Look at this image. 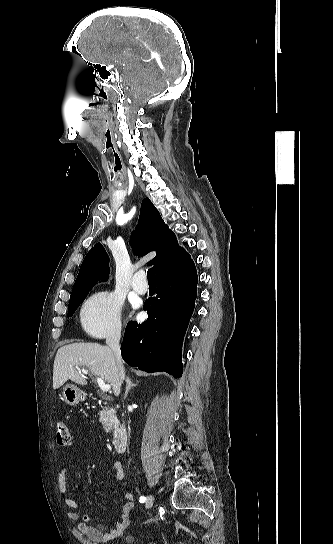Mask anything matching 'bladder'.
<instances>
[{
	"label": "bladder",
	"instance_id": "bladder-1",
	"mask_svg": "<svg viewBox=\"0 0 333 544\" xmlns=\"http://www.w3.org/2000/svg\"><path fill=\"white\" fill-rule=\"evenodd\" d=\"M146 544H157V543H156V541H153V540H149V541H147V543H146Z\"/></svg>",
	"mask_w": 333,
	"mask_h": 544
}]
</instances>
